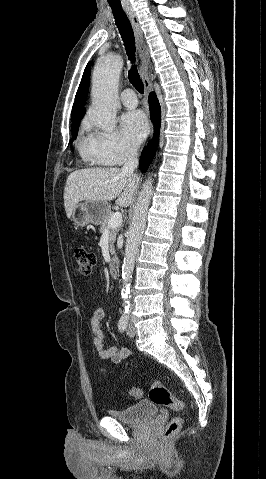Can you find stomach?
<instances>
[{
    "instance_id": "obj_1",
    "label": "stomach",
    "mask_w": 266,
    "mask_h": 479,
    "mask_svg": "<svg viewBox=\"0 0 266 479\" xmlns=\"http://www.w3.org/2000/svg\"><path fill=\"white\" fill-rule=\"evenodd\" d=\"M110 213V205L105 201L88 200L77 204L72 213V220L78 227L88 224L98 225Z\"/></svg>"
}]
</instances>
